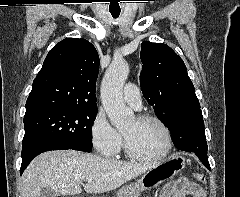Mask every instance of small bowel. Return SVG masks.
<instances>
[{
	"instance_id": "small-bowel-1",
	"label": "small bowel",
	"mask_w": 240,
	"mask_h": 197,
	"mask_svg": "<svg viewBox=\"0 0 240 197\" xmlns=\"http://www.w3.org/2000/svg\"><path fill=\"white\" fill-rule=\"evenodd\" d=\"M164 197H205V191L198 184L183 180L169 186Z\"/></svg>"
}]
</instances>
